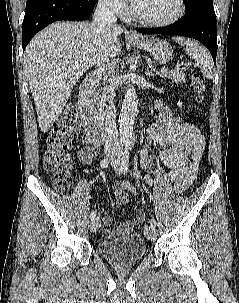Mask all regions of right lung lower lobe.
<instances>
[{
    "label": "right lung lower lobe",
    "instance_id": "right-lung-lower-lobe-1",
    "mask_svg": "<svg viewBox=\"0 0 239 303\" xmlns=\"http://www.w3.org/2000/svg\"><path fill=\"white\" fill-rule=\"evenodd\" d=\"M95 4L96 0H27L22 23L23 50L38 31L54 21L87 19Z\"/></svg>",
    "mask_w": 239,
    "mask_h": 303
}]
</instances>
